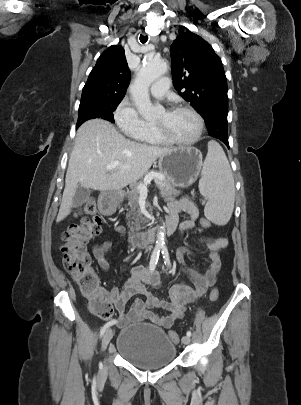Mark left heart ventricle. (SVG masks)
Here are the masks:
<instances>
[{
    "label": "left heart ventricle",
    "mask_w": 301,
    "mask_h": 405,
    "mask_svg": "<svg viewBox=\"0 0 301 405\" xmlns=\"http://www.w3.org/2000/svg\"><path fill=\"white\" fill-rule=\"evenodd\" d=\"M153 122L162 126L169 134L178 139H191L197 131V121L187 111L162 110Z\"/></svg>",
    "instance_id": "obj_1"
}]
</instances>
